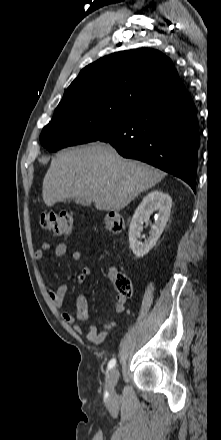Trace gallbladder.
Masks as SVG:
<instances>
[{"mask_svg":"<svg viewBox=\"0 0 221 440\" xmlns=\"http://www.w3.org/2000/svg\"><path fill=\"white\" fill-rule=\"evenodd\" d=\"M76 203L81 204L83 206H89L91 205V201L89 200H75Z\"/></svg>","mask_w":221,"mask_h":440,"instance_id":"1","label":"gallbladder"}]
</instances>
